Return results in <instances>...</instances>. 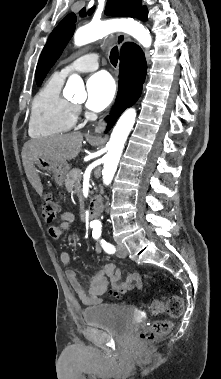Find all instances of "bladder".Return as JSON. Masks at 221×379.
<instances>
[{
	"mask_svg": "<svg viewBox=\"0 0 221 379\" xmlns=\"http://www.w3.org/2000/svg\"><path fill=\"white\" fill-rule=\"evenodd\" d=\"M82 316L86 324L104 328L112 335L120 337L129 335L139 322L134 309L117 304L86 308Z\"/></svg>",
	"mask_w": 221,
	"mask_h": 379,
	"instance_id": "1",
	"label": "bladder"
}]
</instances>
